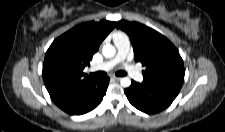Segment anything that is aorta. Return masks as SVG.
Listing matches in <instances>:
<instances>
[{
  "instance_id": "1",
  "label": "aorta",
  "mask_w": 225,
  "mask_h": 132,
  "mask_svg": "<svg viewBox=\"0 0 225 132\" xmlns=\"http://www.w3.org/2000/svg\"><path fill=\"white\" fill-rule=\"evenodd\" d=\"M102 54L105 58H112L116 54V49L111 44H106L102 48ZM120 84L122 87L127 88L131 85V79L128 77H123L120 80Z\"/></svg>"
}]
</instances>
